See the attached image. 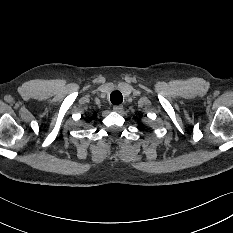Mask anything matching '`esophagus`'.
<instances>
[{
    "label": "esophagus",
    "mask_w": 233,
    "mask_h": 233,
    "mask_svg": "<svg viewBox=\"0 0 233 233\" xmlns=\"http://www.w3.org/2000/svg\"><path fill=\"white\" fill-rule=\"evenodd\" d=\"M113 110L117 113H121L123 111V106L122 105H115L113 107Z\"/></svg>",
    "instance_id": "obj_1"
}]
</instances>
